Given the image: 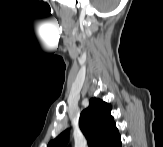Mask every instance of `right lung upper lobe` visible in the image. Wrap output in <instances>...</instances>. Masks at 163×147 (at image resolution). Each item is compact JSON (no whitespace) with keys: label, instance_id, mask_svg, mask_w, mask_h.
<instances>
[{"label":"right lung upper lobe","instance_id":"obj_1","mask_svg":"<svg viewBox=\"0 0 163 147\" xmlns=\"http://www.w3.org/2000/svg\"><path fill=\"white\" fill-rule=\"evenodd\" d=\"M112 106L101 99L92 98L89 107L82 111L79 127L92 147H110L120 134L111 116ZM70 129L60 133L51 140L48 147H64L69 138Z\"/></svg>","mask_w":163,"mask_h":147}]
</instances>
